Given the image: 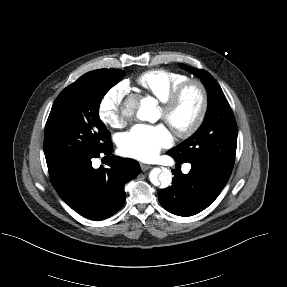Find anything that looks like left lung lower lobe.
<instances>
[{"mask_svg": "<svg viewBox=\"0 0 287 287\" xmlns=\"http://www.w3.org/2000/svg\"><path fill=\"white\" fill-rule=\"evenodd\" d=\"M168 155L178 162L177 165L183 162L192 165L188 174L172 170V185L158 192L162 207L178 216H192L207 208L218 197L231 175L232 169L210 160H180Z\"/></svg>", "mask_w": 287, "mask_h": 287, "instance_id": "0a47b994", "label": "left lung lower lobe"}]
</instances>
